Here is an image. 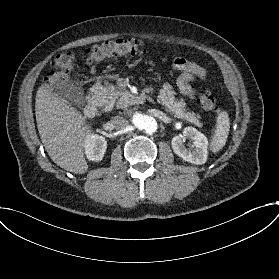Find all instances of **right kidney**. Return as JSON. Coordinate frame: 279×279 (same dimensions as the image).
Listing matches in <instances>:
<instances>
[{"instance_id":"1","label":"right kidney","mask_w":279,"mask_h":279,"mask_svg":"<svg viewBox=\"0 0 279 279\" xmlns=\"http://www.w3.org/2000/svg\"><path fill=\"white\" fill-rule=\"evenodd\" d=\"M107 148L105 137L93 134L88 130V134L84 139L85 155L90 161H101Z\"/></svg>"}]
</instances>
